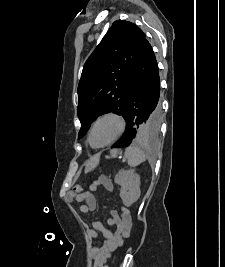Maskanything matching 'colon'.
I'll use <instances>...</instances> for the list:
<instances>
[{"label":"colon","mask_w":225,"mask_h":267,"mask_svg":"<svg viewBox=\"0 0 225 267\" xmlns=\"http://www.w3.org/2000/svg\"><path fill=\"white\" fill-rule=\"evenodd\" d=\"M74 192L76 194H80L83 192V185L82 184H77L75 187H74ZM105 267H109L108 265H106Z\"/></svg>","instance_id":"1"}]
</instances>
